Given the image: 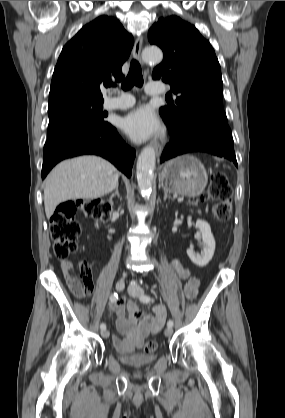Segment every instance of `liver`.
I'll list each match as a JSON object with an SVG mask.
<instances>
[{
    "instance_id": "1",
    "label": "liver",
    "mask_w": 285,
    "mask_h": 418,
    "mask_svg": "<svg viewBox=\"0 0 285 418\" xmlns=\"http://www.w3.org/2000/svg\"><path fill=\"white\" fill-rule=\"evenodd\" d=\"M119 172L97 156H80L59 163L47 176L44 187L45 213L49 219L56 207L71 199H95L113 191Z\"/></svg>"
}]
</instances>
